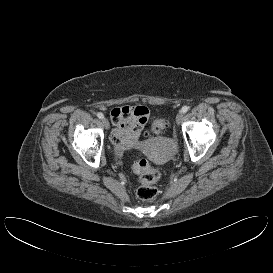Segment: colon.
Returning a JSON list of instances; mask_svg holds the SVG:
<instances>
[{
  "label": "colon",
  "instance_id": "obj_1",
  "mask_svg": "<svg viewBox=\"0 0 273 273\" xmlns=\"http://www.w3.org/2000/svg\"><path fill=\"white\" fill-rule=\"evenodd\" d=\"M166 125L167 121L165 119H158L153 123L152 132L160 134L164 131ZM133 171L139 176L138 198L144 201L154 199L158 194L156 183L160 178V172L153 168L146 159L138 160L133 166Z\"/></svg>",
  "mask_w": 273,
  "mask_h": 273
}]
</instances>
